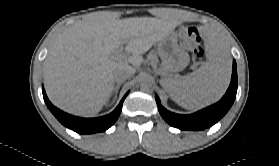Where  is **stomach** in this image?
<instances>
[{
	"label": "stomach",
	"mask_w": 279,
	"mask_h": 166,
	"mask_svg": "<svg viewBox=\"0 0 279 166\" xmlns=\"http://www.w3.org/2000/svg\"><path fill=\"white\" fill-rule=\"evenodd\" d=\"M158 53L165 74L181 71L189 63V55L178 44V38L174 32L158 41Z\"/></svg>",
	"instance_id": "1"
}]
</instances>
